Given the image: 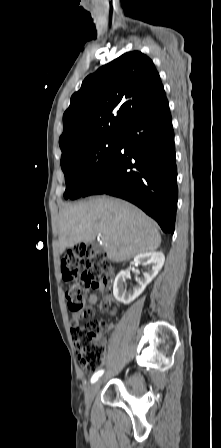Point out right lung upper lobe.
<instances>
[{
  "label": "right lung upper lobe",
  "instance_id": "cb5924a9",
  "mask_svg": "<svg viewBox=\"0 0 221 448\" xmlns=\"http://www.w3.org/2000/svg\"><path fill=\"white\" fill-rule=\"evenodd\" d=\"M165 97L152 60L139 51L100 67L85 78L63 115L61 158L92 140L119 135L129 121Z\"/></svg>",
  "mask_w": 221,
  "mask_h": 448
}]
</instances>
